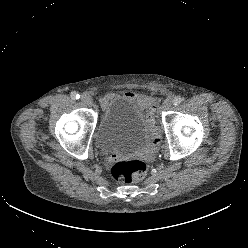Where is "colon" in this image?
Wrapping results in <instances>:
<instances>
[{
	"label": "colon",
	"mask_w": 248,
	"mask_h": 248,
	"mask_svg": "<svg viewBox=\"0 0 248 248\" xmlns=\"http://www.w3.org/2000/svg\"><path fill=\"white\" fill-rule=\"evenodd\" d=\"M152 116V112H150ZM148 171V164L142 159L118 161L111 167V175L121 184H130L142 180Z\"/></svg>",
	"instance_id": "colon-1"
}]
</instances>
